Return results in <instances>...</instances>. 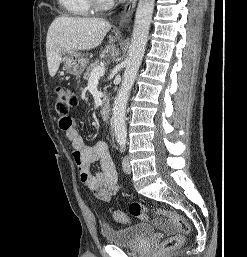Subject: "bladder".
<instances>
[{
	"label": "bladder",
	"mask_w": 247,
	"mask_h": 257,
	"mask_svg": "<svg viewBox=\"0 0 247 257\" xmlns=\"http://www.w3.org/2000/svg\"><path fill=\"white\" fill-rule=\"evenodd\" d=\"M154 233V228L147 223H139L131 227L115 229L106 227L104 229L105 240L118 246H133Z\"/></svg>",
	"instance_id": "bladder-1"
}]
</instances>
